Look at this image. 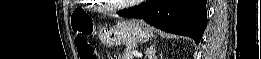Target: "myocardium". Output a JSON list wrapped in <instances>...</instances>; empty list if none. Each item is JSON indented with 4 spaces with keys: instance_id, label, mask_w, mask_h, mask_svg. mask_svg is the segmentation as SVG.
<instances>
[{
    "instance_id": "f54148a6",
    "label": "myocardium",
    "mask_w": 261,
    "mask_h": 59,
    "mask_svg": "<svg viewBox=\"0 0 261 59\" xmlns=\"http://www.w3.org/2000/svg\"><path fill=\"white\" fill-rule=\"evenodd\" d=\"M101 2L104 3L105 7L110 11H118L130 6V4L128 3L113 4L111 3V1H106V0Z\"/></svg>"
}]
</instances>
